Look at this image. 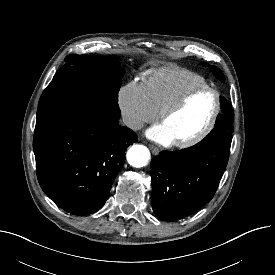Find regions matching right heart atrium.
Masks as SVG:
<instances>
[{
	"instance_id": "d8ad5b80",
	"label": "right heart atrium",
	"mask_w": 275,
	"mask_h": 275,
	"mask_svg": "<svg viewBox=\"0 0 275 275\" xmlns=\"http://www.w3.org/2000/svg\"><path fill=\"white\" fill-rule=\"evenodd\" d=\"M118 103L123 120L131 129H138L144 123L154 120L157 114L148 100L143 84L135 81L121 88Z\"/></svg>"
}]
</instances>
